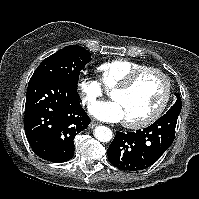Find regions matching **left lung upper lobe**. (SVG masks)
<instances>
[{"instance_id": "obj_1", "label": "left lung upper lobe", "mask_w": 199, "mask_h": 199, "mask_svg": "<svg viewBox=\"0 0 199 199\" xmlns=\"http://www.w3.org/2000/svg\"><path fill=\"white\" fill-rule=\"evenodd\" d=\"M175 95L177 97L176 103L170 108V110H168V112H176L180 114L182 107L181 98L177 93Z\"/></svg>"}]
</instances>
